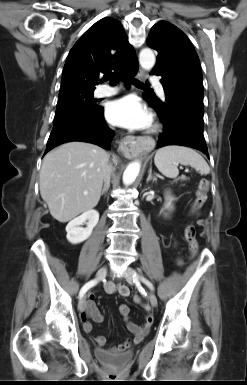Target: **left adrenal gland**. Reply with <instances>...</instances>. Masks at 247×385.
Masks as SVG:
<instances>
[{
    "instance_id": "left-adrenal-gland-1",
    "label": "left adrenal gland",
    "mask_w": 247,
    "mask_h": 385,
    "mask_svg": "<svg viewBox=\"0 0 247 385\" xmlns=\"http://www.w3.org/2000/svg\"><path fill=\"white\" fill-rule=\"evenodd\" d=\"M153 181L155 182L157 180V178L155 176L152 175V167H150L149 169V174H148V177H147V180L146 182L148 183L149 181Z\"/></svg>"
}]
</instances>
